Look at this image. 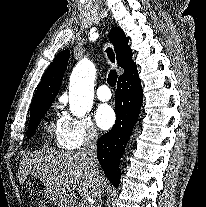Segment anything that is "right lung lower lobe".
<instances>
[{"label":"right lung lower lobe","instance_id":"obj_1","mask_svg":"<svg viewBox=\"0 0 206 207\" xmlns=\"http://www.w3.org/2000/svg\"><path fill=\"white\" fill-rule=\"evenodd\" d=\"M137 67L118 79L115 93L116 122L97 143V158L108 180L117 187L120 181V159L138 119L143 91Z\"/></svg>","mask_w":206,"mask_h":207}]
</instances>
